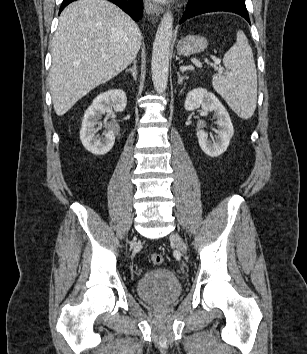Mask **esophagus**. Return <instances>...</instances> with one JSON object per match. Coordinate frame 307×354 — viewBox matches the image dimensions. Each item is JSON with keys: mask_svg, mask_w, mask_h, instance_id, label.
<instances>
[{"mask_svg": "<svg viewBox=\"0 0 307 354\" xmlns=\"http://www.w3.org/2000/svg\"><path fill=\"white\" fill-rule=\"evenodd\" d=\"M145 10L149 15H160L163 7L152 0H145Z\"/></svg>", "mask_w": 307, "mask_h": 354, "instance_id": "34e87169", "label": "esophagus"}]
</instances>
